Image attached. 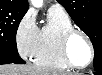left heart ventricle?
<instances>
[{"mask_svg": "<svg viewBox=\"0 0 102 75\" xmlns=\"http://www.w3.org/2000/svg\"><path fill=\"white\" fill-rule=\"evenodd\" d=\"M70 55L76 64H83L89 57V46L81 35H76L69 45Z\"/></svg>", "mask_w": 102, "mask_h": 75, "instance_id": "left-heart-ventricle-1", "label": "left heart ventricle"}]
</instances>
